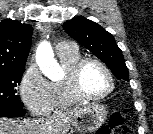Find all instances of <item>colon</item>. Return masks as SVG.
Masks as SVG:
<instances>
[{"mask_svg":"<svg viewBox=\"0 0 153 134\" xmlns=\"http://www.w3.org/2000/svg\"><path fill=\"white\" fill-rule=\"evenodd\" d=\"M97 134H132L130 127L125 124L122 112L116 111L107 124L99 129Z\"/></svg>","mask_w":153,"mask_h":134,"instance_id":"1","label":"colon"}]
</instances>
